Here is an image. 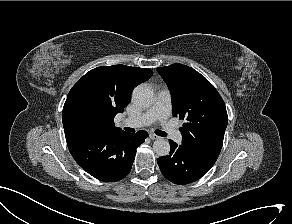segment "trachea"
<instances>
[{
  "instance_id": "trachea-1",
  "label": "trachea",
  "mask_w": 292,
  "mask_h": 224,
  "mask_svg": "<svg viewBox=\"0 0 292 224\" xmlns=\"http://www.w3.org/2000/svg\"><path fill=\"white\" fill-rule=\"evenodd\" d=\"M124 130L128 131V132H132V133L135 132V129L129 128V127H125ZM155 134L158 135V136H162V137L167 136V133L164 132V131H161V130H156Z\"/></svg>"
}]
</instances>
